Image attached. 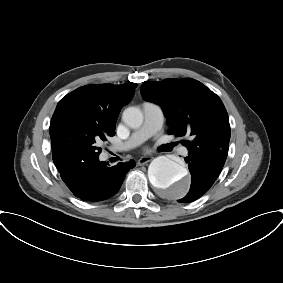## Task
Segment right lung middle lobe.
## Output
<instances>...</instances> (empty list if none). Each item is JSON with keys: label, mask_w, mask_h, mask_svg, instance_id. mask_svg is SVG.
<instances>
[{"label": "right lung middle lobe", "mask_w": 283, "mask_h": 283, "mask_svg": "<svg viewBox=\"0 0 283 283\" xmlns=\"http://www.w3.org/2000/svg\"><path fill=\"white\" fill-rule=\"evenodd\" d=\"M65 134L64 156L62 158L64 163L79 160L87 154L99 155L101 153L99 144L106 141L107 136L114 135L95 123L80 122L74 119L67 122Z\"/></svg>", "instance_id": "1"}]
</instances>
